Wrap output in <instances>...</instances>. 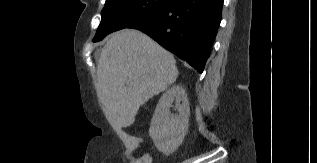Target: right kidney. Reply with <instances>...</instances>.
<instances>
[{
	"label": "right kidney",
	"mask_w": 317,
	"mask_h": 163,
	"mask_svg": "<svg viewBox=\"0 0 317 163\" xmlns=\"http://www.w3.org/2000/svg\"><path fill=\"white\" fill-rule=\"evenodd\" d=\"M173 101L178 114L170 112ZM189 116L185 90L178 85L172 86L161 96L149 128V135L160 152L168 156L178 149L188 131Z\"/></svg>",
	"instance_id": "right-kidney-1"
}]
</instances>
